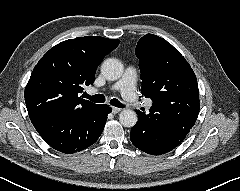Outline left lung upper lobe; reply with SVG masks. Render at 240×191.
Instances as JSON below:
<instances>
[{
	"label": "left lung upper lobe",
	"instance_id": "1",
	"mask_svg": "<svg viewBox=\"0 0 240 191\" xmlns=\"http://www.w3.org/2000/svg\"><path fill=\"white\" fill-rule=\"evenodd\" d=\"M135 53L140 60L141 93L153 100L149 112L154 118L197 117L200 109L197 79L180 52L165 39L146 34L138 41Z\"/></svg>",
	"mask_w": 240,
	"mask_h": 191
}]
</instances>
